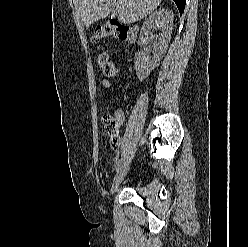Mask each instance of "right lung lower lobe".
<instances>
[{
    "mask_svg": "<svg viewBox=\"0 0 248 247\" xmlns=\"http://www.w3.org/2000/svg\"><path fill=\"white\" fill-rule=\"evenodd\" d=\"M174 2L176 3V5L179 9L180 15H181L184 11L186 0H174Z\"/></svg>",
    "mask_w": 248,
    "mask_h": 247,
    "instance_id": "98d812e1",
    "label": "right lung lower lobe"
}]
</instances>
